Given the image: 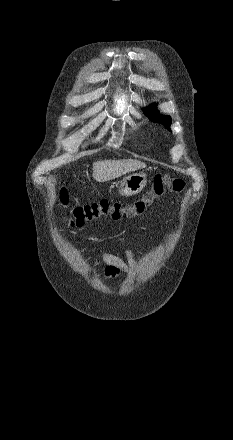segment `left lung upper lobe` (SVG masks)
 Segmentation results:
<instances>
[{"label": "left lung upper lobe", "instance_id": "1", "mask_svg": "<svg viewBox=\"0 0 233 440\" xmlns=\"http://www.w3.org/2000/svg\"><path fill=\"white\" fill-rule=\"evenodd\" d=\"M144 113L150 118L151 121L162 123L166 128L170 130L172 119L168 115H160L155 108V104L144 109Z\"/></svg>", "mask_w": 233, "mask_h": 440}]
</instances>
